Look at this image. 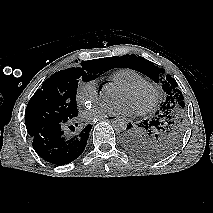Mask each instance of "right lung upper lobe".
Returning a JSON list of instances; mask_svg holds the SVG:
<instances>
[{
    "label": "right lung upper lobe",
    "mask_w": 213,
    "mask_h": 213,
    "mask_svg": "<svg viewBox=\"0 0 213 213\" xmlns=\"http://www.w3.org/2000/svg\"><path fill=\"white\" fill-rule=\"evenodd\" d=\"M94 61L97 62V63H99V64H103V65L108 66L106 58L96 59Z\"/></svg>",
    "instance_id": "1"
}]
</instances>
